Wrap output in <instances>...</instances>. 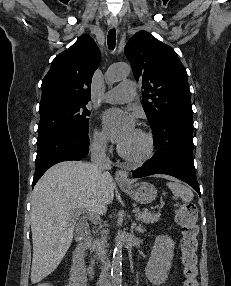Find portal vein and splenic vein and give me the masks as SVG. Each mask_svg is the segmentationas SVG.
Listing matches in <instances>:
<instances>
[{
	"label": "portal vein and splenic vein",
	"instance_id": "portal-vein-and-splenic-vein-1",
	"mask_svg": "<svg viewBox=\"0 0 231 286\" xmlns=\"http://www.w3.org/2000/svg\"><path fill=\"white\" fill-rule=\"evenodd\" d=\"M139 211H140L139 208H134V209H133V213H138ZM76 213H77V214H81L82 211H76Z\"/></svg>",
	"mask_w": 231,
	"mask_h": 286
}]
</instances>
